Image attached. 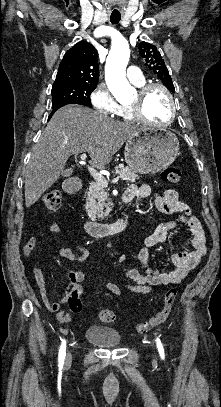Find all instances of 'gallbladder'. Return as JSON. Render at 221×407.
Wrapping results in <instances>:
<instances>
[{
  "mask_svg": "<svg viewBox=\"0 0 221 407\" xmlns=\"http://www.w3.org/2000/svg\"><path fill=\"white\" fill-rule=\"evenodd\" d=\"M71 172H72L71 169H66V170H63L62 175L63 176H70Z\"/></svg>",
  "mask_w": 221,
  "mask_h": 407,
  "instance_id": "bac80fb5",
  "label": "gallbladder"
}]
</instances>
